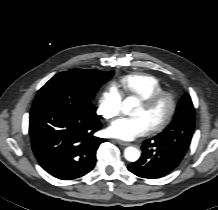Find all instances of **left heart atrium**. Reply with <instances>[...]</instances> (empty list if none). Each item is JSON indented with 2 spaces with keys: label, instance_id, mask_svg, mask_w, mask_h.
<instances>
[{
  "label": "left heart atrium",
  "instance_id": "1",
  "mask_svg": "<svg viewBox=\"0 0 218 210\" xmlns=\"http://www.w3.org/2000/svg\"><path fill=\"white\" fill-rule=\"evenodd\" d=\"M150 126L143 117L120 118L112 122L107 128L110 137L130 141L147 134Z\"/></svg>",
  "mask_w": 218,
  "mask_h": 210
}]
</instances>
